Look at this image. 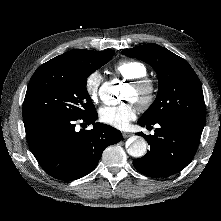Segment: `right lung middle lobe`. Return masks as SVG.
<instances>
[{
  "label": "right lung middle lobe",
  "mask_w": 221,
  "mask_h": 221,
  "mask_svg": "<svg viewBox=\"0 0 221 221\" xmlns=\"http://www.w3.org/2000/svg\"><path fill=\"white\" fill-rule=\"evenodd\" d=\"M114 50L97 52L75 64L46 62L30 79L23 103V118L87 117L96 112L87 89L90 74L106 64Z\"/></svg>",
  "instance_id": "obj_1"
}]
</instances>
